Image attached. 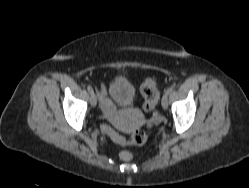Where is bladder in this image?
I'll use <instances>...</instances> for the list:
<instances>
[{"instance_id":"31cf9c89","label":"bladder","mask_w":249,"mask_h":188,"mask_svg":"<svg viewBox=\"0 0 249 188\" xmlns=\"http://www.w3.org/2000/svg\"><path fill=\"white\" fill-rule=\"evenodd\" d=\"M111 98L122 107H130L136 101V87L124 77L117 78L110 87Z\"/></svg>"}]
</instances>
